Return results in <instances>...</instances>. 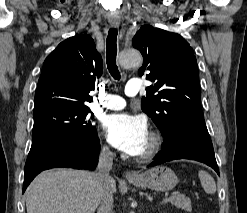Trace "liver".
Returning <instances> with one entry per match:
<instances>
[{
  "label": "liver",
  "instance_id": "1",
  "mask_svg": "<svg viewBox=\"0 0 247 213\" xmlns=\"http://www.w3.org/2000/svg\"><path fill=\"white\" fill-rule=\"evenodd\" d=\"M112 193L116 182L112 178ZM96 172L52 169L39 174L25 192L27 213H94L99 205Z\"/></svg>",
  "mask_w": 247,
  "mask_h": 213
}]
</instances>
